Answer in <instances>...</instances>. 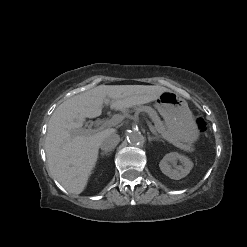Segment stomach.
<instances>
[{"instance_id": "0dacf381", "label": "stomach", "mask_w": 247, "mask_h": 247, "mask_svg": "<svg viewBox=\"0 0 247 247\" xmlns=\"http://www.w3.org/2000/svg\"><path fill=\"white\" fill-rule=\"evenodd\" d=\"M155 107L165 120L167 130L180 142L192 145L199 139V129L188 103L173 91L162 93Z\"/></svg>"}]
</instances>
